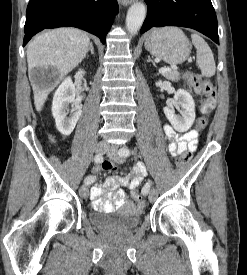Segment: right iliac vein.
I'll use <instances>...</instances> for the list:
<instances>
[{"label": "right iliac vein", "instance_id": "right-iliac-vein-1", "mask_svg": "<svg viewBox=\"0 0 247 275\" xmlns=\"http://www.w3.org/2000/svg\"><path fill=\"white\" fill-rule=\"evenodd\" d=\"M109 148V145L106 141H101L99 142L96 147H95V152L97 154H104L105 152H107ZM79 194L82 198L86 199L89 195V187L87 184H83L80 189H79Z\"/></svg>", "mask_w": 247, "mask_h": 275}]
</instances>
